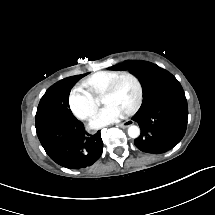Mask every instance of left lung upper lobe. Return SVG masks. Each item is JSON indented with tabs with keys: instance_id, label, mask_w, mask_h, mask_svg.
Masks as SVG:
<instances>
[{
	"instance_id": "obj_1",
	"label": "left lung upper lobe",
	"mask_w": 215,
	"mask_h": 215,
	"mask_svg": "<svg viewBox=\"0 0 215 215\" xmlns=\"http://www.w3.org/2000/svg\"><path fill=\"white\" fill-rule=\"evenodd\" d=\"M112 68L129 69L143 86L142 106L132 117L141 129L135 146L153 154L171 150L187 127V100L180 83L166 70L145 61H128Z\"/></svg>"
}]
</instances>
